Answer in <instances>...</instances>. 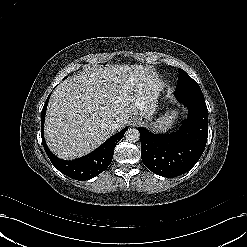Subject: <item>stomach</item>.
<instances>
[{
	"label": "stomach",
	"instance_id": "stomach-1",
	"mask_svg": "<svg viewBox=\"0 0 247 247\" xmlns=\"http://www.w3.org/2000/svg\"><path fill=\"white\" fill-rule=\"evenodd\" d=\"M178 114L179 112L177 110H168L164 115L160 116L154 122L151 121L149 126L151 129L157 132L167 131L176 122Z\"/></svg>",
	"mask_w": 247,
	"mask_h": 247
}]
</instances>
